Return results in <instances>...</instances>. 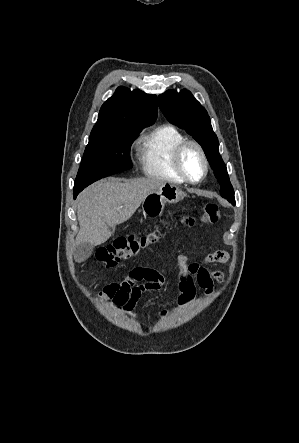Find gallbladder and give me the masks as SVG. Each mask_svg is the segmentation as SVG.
<instances>
[{
    "mask_svg": "<svg viewBox=\"0 0 299 443\" xmlns=\"http://www.w3.org/2000/svg\"><path fill=\"white\" fill-rule=\"evenodd\" d=\"M94 246L89 243L78 244L74 250V258L81 262L89 258L93 252Z\"/></svg>",
    "mask_w": 299,
    "mask_h": 443,
    "instance_id": "obj_1",
    "label": "gallbladder"
}]
</instances>
